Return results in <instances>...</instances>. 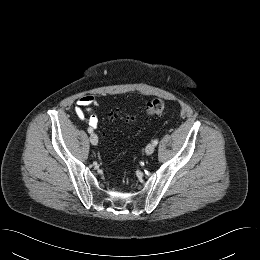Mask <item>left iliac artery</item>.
I'll use <instances>...</instances> for the list:
<instances>
[{"mask_svg": "<svg viewBox=\"0 0 260 260\" xmlns=\"http://www.w3.org/2000/svg\"><path fill=\"white\" fill-rule=\"evenodd\" d=\"M153 144L156 146V145L158 144V139H155V140L153 141Z\"/></svg>", "mask_w": 260, "mask_h": 260, "instance_id": "1", "label": "left iliac artery"}]
</instances>
